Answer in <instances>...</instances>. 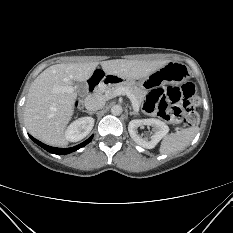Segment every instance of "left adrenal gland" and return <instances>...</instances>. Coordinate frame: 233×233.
Wrapping results in <instances>:
<instances>
[{"mask_svg": "<svg viewBox=\"0 0 233 233\" xmlns=\"http://www.w3.org/2000/svg\"><path fill=\"white\" fill-rule=\"evenodd\" d=\"M129 115L132 116V115H136L135 113L133 112H129Z\"/></svg>", "mask_w": 233, "mask_h": 233, "instance_id": "1", "label": "left adrenal gland"}]
</instances>
